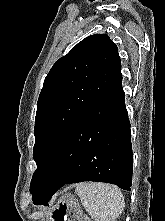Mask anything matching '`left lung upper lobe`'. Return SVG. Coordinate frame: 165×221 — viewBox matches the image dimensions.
I'll return each instance as SVG.
<instances>
[{
    "mask_svg": "<svg viewBox=\"0 0 165 221\" xmlns=\"http://www.w3.org/2000/svg\"><path fill=\"white\" fill-rule=\"evenodd\" d=\"M120 73L118 48L106 34L86 37L53 65L37 102L32 197L62 140Z\"/></svg>",
    "mask_w": 165,
    "mask_h": 221,
    "instance_id": "1",
    "label": "left lung upper lobe"
}]
</instances>
